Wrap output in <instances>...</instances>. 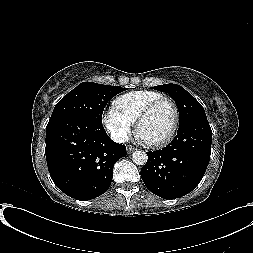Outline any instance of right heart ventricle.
Wrapping results in <instances>:
<instances>
[{
  "label": "right heart ventricle",
  "instance_id": "obj_1",
  "mask_svg": "<svg viewBox=\"0 0 253 253\" xmlns=\"http://www.w3.org/2000/svg\"><path fill=\"white\" fill-rule=\"evenodd\" d=\"M163 95L156 91L136 90L125 93L115 100V107L132 123H135L139 114L146 105Z\"/></svg>",
  "mask_w": 253,
  "mask_h": 253
}]
</instances>
